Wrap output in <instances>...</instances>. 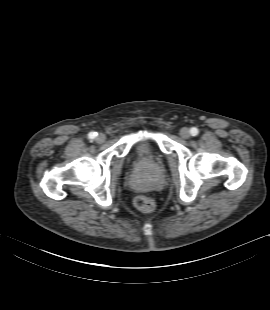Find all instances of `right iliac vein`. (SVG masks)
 <instances>
[{
  "mask_svg": "<svg viewBox=\"0 0 270 310\" xmlns=\"http://www.w3.org/2000/svg\"><path fill=\"white\" fill-rule=\"evenodd\" d=\"M105 139H106V136L104 134H102V133L98 134L97 137H96V141L98 143H103L105 141Z\"/></svg>",
  "mask_w": 270,
  "mask_h": 310,
  "instance_id": "right-iliac-vein-1",
  "label": "right iliac vein"
}]
</instances>
